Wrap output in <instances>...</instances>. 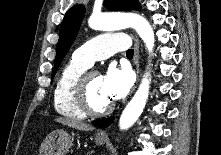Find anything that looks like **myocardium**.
<instances>
[{"mask_svg": "<svg viewBox=\"0 0 221 155\" xmlns=\"http://www.w3.org/2000/svg\"><path fill=\"white\" fill-rule=\"evenodd\" d=\"M98 73L95 70L84 71L76 80L72 94L76 106L85 114L89 116L99 117L110 113L113 110L114 104L111 102L102 109H95L88 97V85L91 76Z\"/></svg>", "mask_w": 221, "mask_h": 155, "instance_id": "myocardium-1", "label": "myocardium"}]
</instances>
